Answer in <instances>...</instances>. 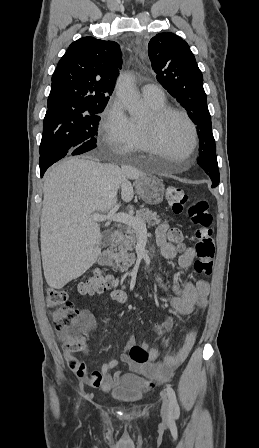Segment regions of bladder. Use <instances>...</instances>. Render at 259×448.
Here are the masks:
<instances>
[{
  "label": "bladder",
  "mask_w": 259,
  "mask_h": 448,
  "mask_svg": "<svg viewBox=\"0 0 259 448\" xmlns=\"http://www.w3.org/2000/svg\"><path fill=\"white\" fill-rule=\"evenodd\" d=\"M111 397L120 403L136 404L143 398V393L135 388H117L111 392Z\"/></svg>",
  "instance_id": "obj_1"
}]
</instances>
